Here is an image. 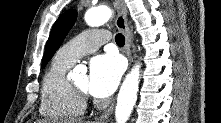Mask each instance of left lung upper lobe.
I'll return each instance as SVG.
<instances>
[{
  "instance_id": "5c2ea615",
  "label": "left lung upper lobe",
  "mask_w": 221,
  "mask_h": 123,
  "mask_svg": "<svg viewBox=\"0 0 221 123\" xmlns=\"http://www.w3.org/2000/svg\"><path fill=\"white\" fill-rule=\"evenodd\" d=\"M76 18L77 11L75 9H70L64 12L54 23L49 39L46 43L42 68L46 66L54 53L58 50L67 33L74 25Z\"/></svg>"
}]
</instances>
